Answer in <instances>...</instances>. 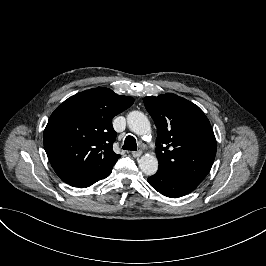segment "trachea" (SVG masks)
<instances>
[{"label":"trachea","instance_id":"trachea-1","mask_svg":"<svg viewBox=\"0 0 266 266\" xmlns=\"http://www.w3.org/2000/svg\"><path fill=\"white\" fill-rule=\"evenodd\" d=\"M122 149L131 151L137 150V143L135 138L132 136H127Z\"/></svg>","mask_w":266,"mask_h":266}]
</instances>
